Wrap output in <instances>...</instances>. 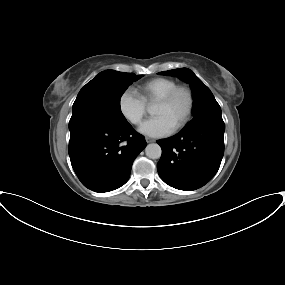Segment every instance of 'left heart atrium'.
Wrapping results in <instances>:
<instances>
[{"mask_svg":"<svg viewBox=\"0 0 285 285\" xmlns=\"http://www.w3.org/2000/svg\"><path fill=\"white\" fill-rule=\"evenodd\" d=\"M173 126L162 116H155L143 122L139 131L149 137H164L173 132Z\"/></svg>","mask_w":285,"mask_h":285,"instance_id":"1","label":"left heart atrium"}]
</instances>
